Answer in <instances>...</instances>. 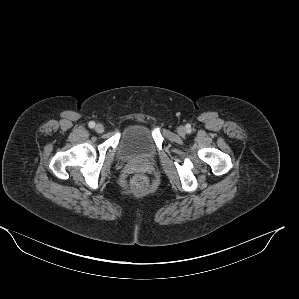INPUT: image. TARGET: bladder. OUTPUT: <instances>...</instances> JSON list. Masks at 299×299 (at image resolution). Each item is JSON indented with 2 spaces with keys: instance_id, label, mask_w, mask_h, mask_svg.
Segmentation results:
<instances>
[{
  "instance_id": "1",
  "label": "bladder",
  "mask_w": 299,
  "mask_h": 299,
  "mask_svg": "<svg viewBox=\"0 0 299 299\" xmlns=\"http://www.w3.org/2000/svg\"><path fill=\"white\" fill-rule=\"evenodd\" d=\"M156 145L149 128L142 123L130 126L121 136L117 155L121 159H151L156 155Z\"/></svg>"
}]
</instances>
